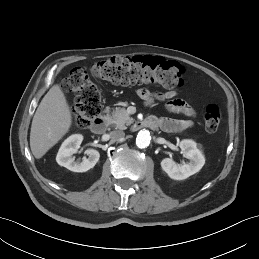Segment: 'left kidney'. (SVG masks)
<instances>
[{
  "instance_id": "1",
  "label": "left kidney",
  "mask_w": 259,
  "mask_h": 259,
  "mask_svg": "<svg viewBox=\"0 0 259 259\" xmlns=\"http://www.w3.org/2000/svg\"><path fill=\"white\" fill-rule=\"evenodd\" d=\"M183 156L190 160L189 163L177 164L171 158H165L161 161V167L171 179L184 180L189 176L199 172L205 164V158L202 152L197 148L196 142L185 139L179 144Z\"/></svg>"
}]
</instances>
